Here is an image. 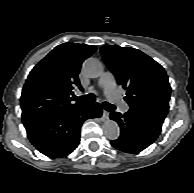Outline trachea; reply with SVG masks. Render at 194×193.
<instances>
[{
    "instance_id": "1",
    "label": "trachea",
    "mask_w": 194,
    "mask_h": 193,
    "mask_svg": "<svg viewBox=\"0 0 194 193\" xmlns=\"http://www.w3.org/2000/svg\"><path fill=\"white\" fill-rule=\"evenodd\" d=\"M73 99L75 101L82 102L85 104H92L95 101V96L93 93H90L88 95H84V96H80V97L74 96ZM103 107L107 111H114L116 109V107L114 105H112L108 102H103Z\"/></svg>"
}]
</instances>
